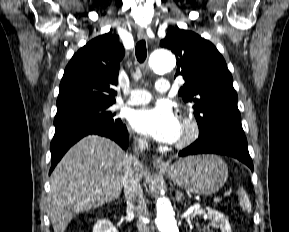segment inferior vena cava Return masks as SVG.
Listing matches in <instances>:
<instances>
[{"mask_svg":"<svg viewBox=\"0 0 289 232\" xmlns=\"http://www.w3.org/2000/svg\"><path fill=\"white\" fill-rule=\"evenodd\" d=\"M138 150L143 152L148 146L146 138H139ZM141 167L138 157L129 155L126 157L124 168L123 188L127 203V213H136L138 217L137 228L139 232H150L145 222L147 214V205L143 196V190L140 185V177L137 169Z\"/></svg>","mask_w":289,"mask_h":232,"instance_id":"obj_1","label":"inferior vena cava"}]
</instances>
